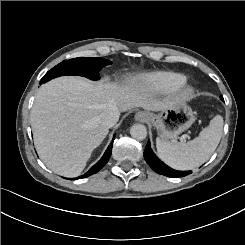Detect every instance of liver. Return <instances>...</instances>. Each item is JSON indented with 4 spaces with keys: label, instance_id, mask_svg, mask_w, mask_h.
<instances>
[{
    "label": "liver",
    "instance_id": "1",
    "mask_svg": "<svg viewBox=\"0 0 245 245\" xmlns=\"http://www.w3.org/2000/svg\"><path fill=\"white\" fill-rule=\"evenodd\" d=\"M170 104L153 99L135 78L119 85L59 77L40 86L35 96L31 110L34 143L48 168L61 176L76 177L109 133L100 124L102 112L113 108L125 112L134 107L161 111Z\"/></svg>",
    "mask_w": 245,
    "mask_h": 245
}]
</instances>
